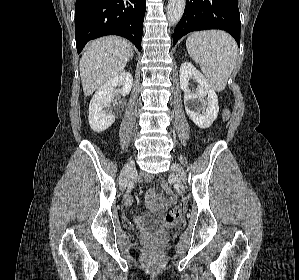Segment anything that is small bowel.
<instances>
[{
  "label": "small bowel",
  "mask_w": 299,
  "mask_h": 280,
  "mask_svg": "<svg viewBox=\"0 0 299 280\" xmlns=\"http://www.w3.org/2000/svg\"><path fill=\"white\" fill-rule=\"evenodd\" d=\"M145 198H146L147 207L149 209L156 210V211H160L167 208L170 204H172L175 201L174 196H169L168 198H164L159 194H157L154 189L147 190ZM125 203L127 205H130L132 203V198L127 197Z\"/></svg>",
  "instance_id": "small-bowel-1"
}]
</instances>
